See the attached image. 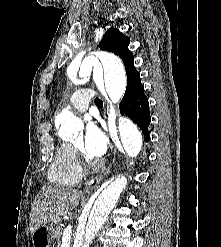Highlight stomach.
Wrapping results in <instances>:
<instances>
[{"instance_id":"stomach-1","label":"stomach","mask_w":221,"mask_h":247,"mask_svg":"<svg viewBox=\"0 0 221 247\" xmlns=\"http://www.w3.org/2000/svg\"><path fill=\"white\" fill-rule=\"evenodd\" d=\"M52 227V224L43 225L32 233L33 247H51L54 241Z\"/></svg>"}]
</instances>
